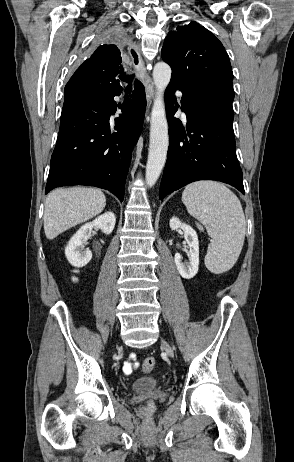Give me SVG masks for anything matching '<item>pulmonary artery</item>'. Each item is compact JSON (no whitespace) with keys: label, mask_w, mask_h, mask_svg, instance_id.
<instances>
[{"label":"pulmonary artery","mask_w":294,"mask_h":462,"mask_svg":"<svg viewBox=\"0 0 294 462\" xmlns=\"http://www.w3.org/2000/svg\"><path fill=\"white\" fill-rule=\"evenodd\" d=\"M178 96H181V93H178Z\"/></svg>","instance_id":"pulmonary-artery-1"}]
</instances>
